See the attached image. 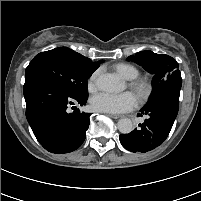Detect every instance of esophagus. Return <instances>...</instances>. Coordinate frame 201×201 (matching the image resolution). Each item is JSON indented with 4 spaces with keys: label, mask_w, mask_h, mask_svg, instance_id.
Wrapping results in <instances>:
<instances>
[{
    "label": "esophagus",
    "mask_w": 201,
    "mask_h": 201,
    "mask_svg": "<svg viewBox=\"0 0 201 201\" xmlns=\"http://www.w3.org/2000/svg\"><path fill=\"white\" fill-rule=\"evenodd\" d=\"M109 116L112 117L113 119H119V118H121L120 115L109 114Z\"/></svg>",
    "instance_id": "esophagus-1"
}]
</instances>
